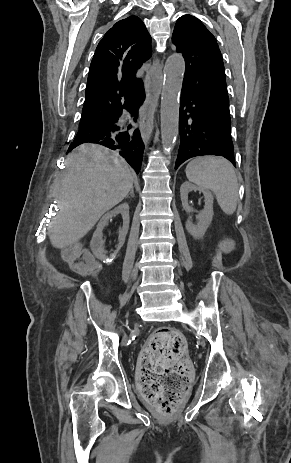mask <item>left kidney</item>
Returning a JSON list of instances; mask_svg holds the SVG:
<instances>
[{
    "label": "left kidney",
    "mask_w": 291,
    "mask_h": 463,
    "mask_svg": "<svg viewBox=\"0 0 291 463\" xmlns=\"http://www.w3.org/2000/svg\"><path fill=\"white\" fill-rule=\"evenodd\" d=\"M200 191L204 195V209L200 211L196 215L197 223L193 224V222L189 219L186 224V229L189 234L194 239H202L207 231L209 225L212 222L213 218V195L208 189H204L201 187H197L189 182H184L180 187V196L182 201V206L187 213L194 212V209L190 206L188 202V194L191 191Z\"/></svg>",
    "instance_id": "obj_1"
}]
</instances>
